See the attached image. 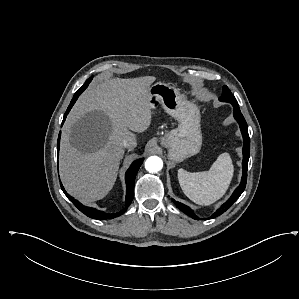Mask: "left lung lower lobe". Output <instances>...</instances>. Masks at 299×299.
Returning a JSON list of instances; mask_svg holds the SVG:
<instances>
[{
    "label": "left lung lower lobe",
    "mask_w": 299,
    "mask_h": 299,
    "mask_svg": "<svg viewBox=\"0 0 299 299\" xmlns=\"http://www.w3.org/2000/svg\"><path fill=\"white\" fill-rule=\"evenodd\" d=\"M234 107V118L237 120V122L240 125V129L243 135V140H244V145H243V161H242V166H243V173H242V179L240 185L235 189L233 192L232 196L219 208L216 210L214 214H212L210 217L206 219H212L215 218L222 213H224L243 193L245 187H246V182H247V168H248V160L250 156V138L248 134V126L247 123L239 109L238 102H233L231 103ZM173 202L176 204V206L186 213L188 216H190L193 219L199 220V217L194 214V212L186 205L175 201L172 199Z\"/></svg>",
    "instance_id": "obj_1"
}]
</instances>
